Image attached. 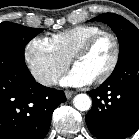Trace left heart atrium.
Masks as SVG:
<instances>
[{
    "label": "left heart atrium",
    "mask_w": 139,
    "mask_h": 139,
    "mask_svg": "<svg viewBox=\"0 0 139 139\" xmlns=\"http://www.w3.org/2000/svg\"><path fill=\"white\" fill-rule=\"evenodd\" d=\"M94 80L80 69L74 67L72 71L61 80L64 86H84L92 83Z\"/></svg>",
    "instance_id": "39dd6f15"
}]
</instances>
